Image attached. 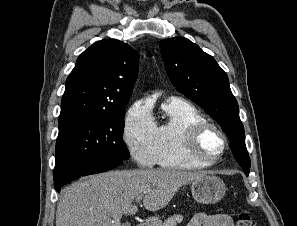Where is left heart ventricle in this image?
Listing matches in <instances>:
<instances>
[{
	"label": "left heart ventricle",
	"mask_w": 297,
	"mask_h": 226,
	"mask_svg": "<svg viewBox=\"0 0 297 226\" xmlns=\"http://www.w3.org/2000/svg\"><path fill=\"white\" fill-rule=\"evenodd\" d=\"M221 146L220 139L214 131L206 133L200 143L201 151L208 156H215Z\"/></svg>",
	"instance_id": "b2bd125f"
}]
</instances>
